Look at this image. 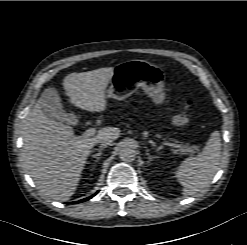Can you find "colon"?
<instances>
[{
    "label": "colon",
    "mask_w": 247,
    "mask_h": 245,
    "mask_svg": "<svg viewBox=\"0 0 247 245\" xmlns=\"http://www.w3.org/2000/svg\"><path fill=\"white\" fill-rule=\"evenodd\" d=\"M192 108H193V101L186 100L184 103L183 110L174 117L173 119L174 124L178 126L187 124L190 119V113L192 111Z\"/></svg>",
    "instance_id": "obj_1"
}]
</instances>
